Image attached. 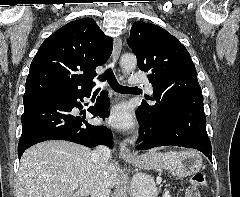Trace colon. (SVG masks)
Segmentation results:
<instances>
[{
    "label": "colon",
    "mask_w": 240,
    "mask_h": 197,
    "mask_svg": "<svg viewBox=\"0 0 240 197\" xmlns=\"http://www.w3.org/2000/svg\"><path fill=\"white\" fill-rule=\"evenodd\" d=\"M190 182L192 187L197 189V187L206 185V177L202 173H195L190 177Z\"/></svg>",
    "instance_id": "5ec220e1"
}]
</instances>
